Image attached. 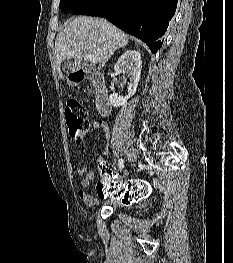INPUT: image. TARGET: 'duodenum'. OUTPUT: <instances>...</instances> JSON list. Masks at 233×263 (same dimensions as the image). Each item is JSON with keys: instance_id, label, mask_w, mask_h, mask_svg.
<instances>
[{"instance_id": "410a0bca", "label": "duodenum", "mask_w": 233, "mask_h": 263, "mask_svg": "<svg viewBox=\"0 0 233 263\" xmlns=\"http://www.w3.org/2000/svg\"><path fill=\"white\" fill-rule=\"evenodd\" d=\"M72 80L77 84L90 81L94 89L97 113L101 116L110 114L111 104L109 94L106 88L105 79L100 73L89 69H78L73 73Z\"/></svg>"}]
</instances>
